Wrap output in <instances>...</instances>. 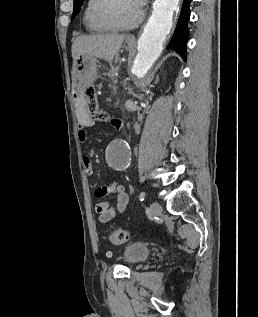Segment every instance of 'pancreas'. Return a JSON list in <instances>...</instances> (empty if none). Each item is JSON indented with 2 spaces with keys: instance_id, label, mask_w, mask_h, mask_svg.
<instances>
[{
  "instance_id": "cf45deb5",
  "label": "pancreas",
  "mask_w": 258,
  "mask_h": 317,
  "mask_svg": "<svg viewBox=\"0 0 258 317\" xmlns=\"http://www.w3.org/2000/svg\"><path fill=\"white\" fill-rule=\"evenodd\" d=\"M110 83H111V89L113 90L114 93H119L120 92V87L117 84V78L116 77H111L110 78Z\"/></svg>"
}]
</instances>
